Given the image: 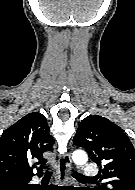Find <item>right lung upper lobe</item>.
I'll list each match as a JSON object with an SVG mask.
<instances>
[{
    "label": "right lung upper lobe",
    "instance_id": "cb5924a9",
    "mask_svg": "<svg viewBox=\"0 0 135 190\" xmlns=\"http://www.w3.org/2000/svg\"><path fill=\"white\" fill-rule=\"evenodd\" d=\"M54 140L49 134L46 118L41 113H29L3 132L0 138V182L22 181L25 187L34 175L32 167L46 163L43 153L53 149ZM38 159L31 166L30 161Z\"/></svg>",
    "mask_w": 135,
    "mask_h": 190
}]
</instances>
